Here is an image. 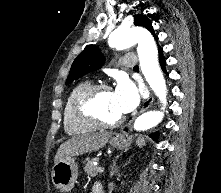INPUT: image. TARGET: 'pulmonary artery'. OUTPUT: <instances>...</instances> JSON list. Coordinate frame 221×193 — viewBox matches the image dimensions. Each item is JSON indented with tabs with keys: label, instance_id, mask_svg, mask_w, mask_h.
<instances>
[{
	"label": "pulmonary artery",
	"instance_id": "1",
	"mask_svg": "<svg viewBox=\"0 0 221 193\" xmlns=\"http://www.w3.org/2000/svg\"><path fill=\"white\" fill-rule=\"evenodd\" d=\"M137 62L136 55H128L121 59V64L127 68H132Z\"/></svg>",
	"mask_w": 221,
	"mask_h": 193
}]
</instances>
